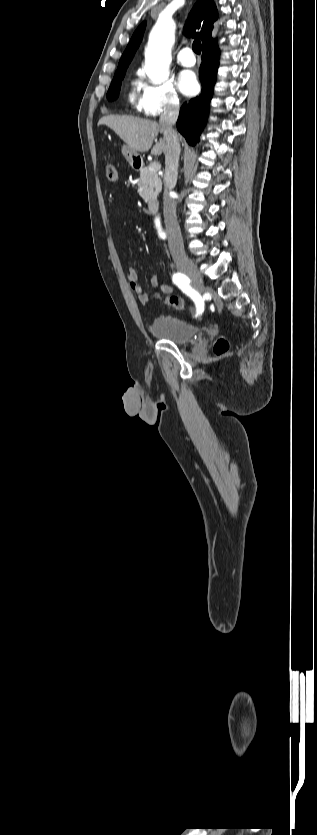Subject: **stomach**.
<instances>
[{"label": "stomach", "mask_w": 317, "mask_h": 835, "mask_svg": "<svg viewBox=\"0 0 317 835\" xmlns=\"http://www.w3.org/2000/svg\"><path fill=\"white\" fill-rule=\"evenodd\" d=\"M122 154L132 166L140 163L142 160V157L137 152L133 151L128 145H124L122 147Z\"/></svg>", "instance_id": "obj_1"}]
</instances>
